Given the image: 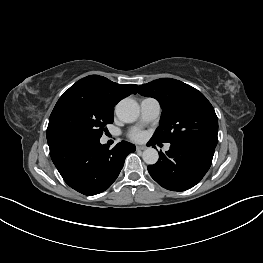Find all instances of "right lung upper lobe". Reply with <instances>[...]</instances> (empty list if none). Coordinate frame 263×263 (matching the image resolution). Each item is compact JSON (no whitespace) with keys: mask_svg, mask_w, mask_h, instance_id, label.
I'll return each instance as SVG.
<instances>
[{"mask_svg":"<svg viewBox=\"0 0 263 263\" xmlns=\"http://www.w3.org/2000/svg\"><path fill=\"white\" fill-rule=\"evenodd\" d=\"M135 87L134 84L121 85L103 76L90 75L77 81L61 97L79 95L114 111L118 101L132 94Z\"/></svg>","mask_w":263,"mask_h":263,"instance_id":"cb5924a9","label":"right lung upper lobe"}]
</instances>
